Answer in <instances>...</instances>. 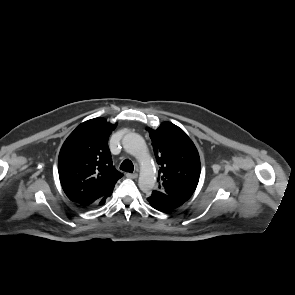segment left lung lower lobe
I'll list each match as a JSON object with an SVG mask.
<instances>
[{
	"mask_svg": "<svg viewBox=\"0 0 295 295\" xmlns=\"http://www.w3.org/2000/svg\"><path fill=\"white\" fill-rule=\"evenodd\" d=\"M147 201L154 209L162 212L171 211L185 203V201L170 197L159 191H153L152 194L147 198Z\"/></svg>",
	"mask_w": 295,
	"mask_h": 295,
	"instance_id": "1",
	"label": "left lung lower lobe"
}]
</instances>
